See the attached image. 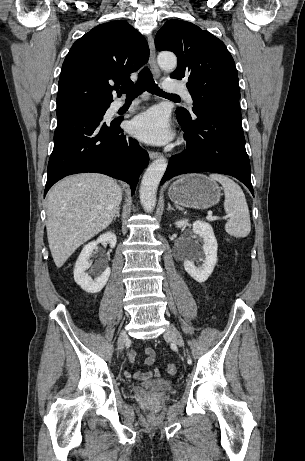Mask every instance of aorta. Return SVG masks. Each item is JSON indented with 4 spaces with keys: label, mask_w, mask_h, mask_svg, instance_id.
I'll return each instance as SVG.
<instances>
[{
    "label": "aorta",
    "mask_w": 305,
    "mask_h": 461,
    "mask_svg": "<svg viewBox=\"0 0 305 461\" xmlns=\"http://www.w3.org/2000/svg\"><path fill=\"white\" fill-rule=\"evenodd\" d=\"M159 66L166 71H171L177 66V58L172 53H161L158 56ZM167 160L158 158L153 161L143 175L139 190L140 202L144 210L151 212L156 206V193L158 185L166 171Z\"/></svg>",
    "instance_id": "1"
}]
</instances>
